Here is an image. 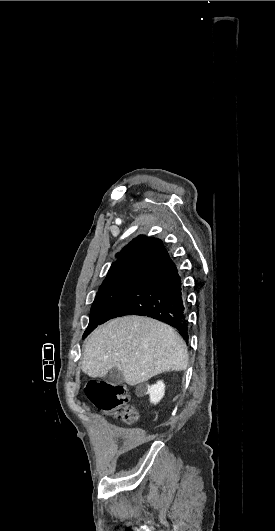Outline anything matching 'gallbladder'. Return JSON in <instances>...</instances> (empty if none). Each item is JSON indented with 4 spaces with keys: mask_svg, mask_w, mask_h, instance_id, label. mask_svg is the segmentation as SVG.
<instances>
[{
    "mask_svg": "<svg viewBox=\"0 0 275 531\" xmlns=\"http://www.w3.org/2000/svg\"><path fill=\"white\" fill-rule=\"evenodd\" d=\"M104 379L108 385H113V387H117V385H123L125 381L124 375L122 371H119L118 367H113V369H110L109 373L105 375Z\"/></svg>",
    "mask_w": 275,
    "mask_h": 531,
    "instance_id": "gallbladder-1",
    "label": "gallbladder"
}]
</instances>
